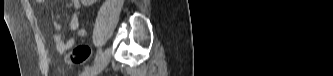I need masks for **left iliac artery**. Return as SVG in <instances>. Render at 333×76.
Segmentation results:
<instances>
[{"mask_svg":"<svg viewBox=\"0 0 333 76\" xmlns=\"http://www.w3.org/2000/svg\"><path fill=\"white\" fill-rule=\"evenodd\" d=\"M101 55H102V49H99V50L97 51V54H96V56H95L94 61L96 62V61L100 58Z\"/></svg>","mask_w":333,"mask_h":76,"instance_id":"left-iliac-artery-1","label":"left iliac artery"}]
</instances>
